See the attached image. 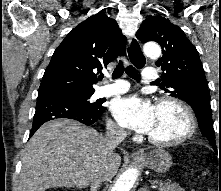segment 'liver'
<instances>
[{"mask_svg":"<svg viewBox=\"0 0 221 191\" xmlns=\"http://www.w3.org/2000/svg\"><path fill=\"white\" fill-rule=\"evenodd\" d=\"M120 163V156L108 152L104 137L95 129L74 120H52L43 124L26 145L21 191L84 188L101 171L105 181H110Z\"/></svg>","mask_w":221,"mask_h":191,"instance_id":"1","label":"liver"}]
</instances>
